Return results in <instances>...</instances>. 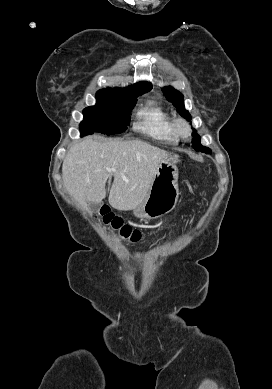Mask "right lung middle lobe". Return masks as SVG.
Masks as SVG:
<instances>
[{
    "label": "right lung middle lobe",
    "mask_w": 272,
    "mask_h": 389,
    "mask_svg": "<svg viewBox=\"0 0 272 389\" xmlns=\"http://www.w3.org/2000/svg\"><path fill=\"white\" fill-rule=\"evenodd\" d=\"M137 96L98 91L96 105L83 110L84 120L79 125L81 136L94 132L111 135L125 131Z\"/></svg>",
    "instance_id": "obj_1"
}]
</instances>
